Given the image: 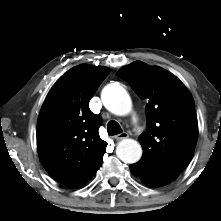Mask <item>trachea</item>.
<instances>
[{
    "label": "trachea",
    "instance_id": "3493384b",
    "mask_svg": "<svg viewBox=\"0 0 221 221\" xmlns=\"http://www.w3.org/2000/svg\"><path fill=\"white\" fill-rule=\"evenodd\" d=\"M107 132L110 136H113L122 133V129L118 122L111 120L107 124Z\"/></svg>",
    "mask_w": 221,
    "mask_h": 221
}]
</instances>
